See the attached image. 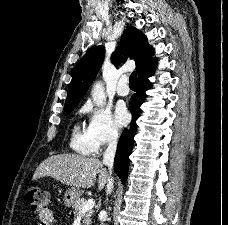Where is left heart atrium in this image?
<instances>
[{
    "mask_svg": "<svg viewBox=\"0 0 228 225\" xmlns=\"http://www.w3.org/2000/svg\"><path fill=\"white\" fill-rule=\"evenodd\" d=\"M115 120L120 127L127 124L129 120V114L124 107H119L116 109Z\"/></svg>",
    "mask_w": 228,
    "mask_h": 225,
    "instance_id": "left-heart-atrium-1",
    "label": "left heart atrium"
}]
</instances>
